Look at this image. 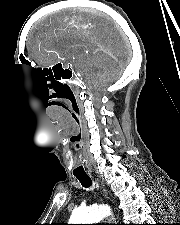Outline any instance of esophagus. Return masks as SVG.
I'll return each mask as SVG.
<instances>
[{"instance_id":"esophagus-1","label":"esophagus","mask_w":180,"mask_h":225,"mask_svg":"<svg viewBox=\"0 0 180 225\" xmlns=\"http://www.w3.org/2000/svg\"><path fill=\"white\" fill-rule=\"evenodd\" d=\"M101 186H102V188H103V194H104V196L106 197V196H107V191H106V189L104 188V185H103V184H101ZM114 221H115V218H114L113 215L110 216V217L108 218V222H109V223H113Z\"/></svg>"}]
</instances>
